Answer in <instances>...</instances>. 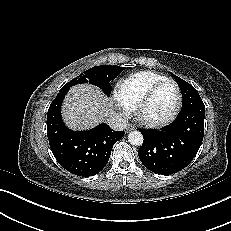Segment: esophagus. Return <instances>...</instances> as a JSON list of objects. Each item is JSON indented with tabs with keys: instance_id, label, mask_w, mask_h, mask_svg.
<instances>
[{
	"instance_id": "esophagus-1",
	"label": "esophagus",
	"mask_w": 231,
	"mask_h": 231,
	"mask_svg": "<svg viewBox=\"0 0 231 231\" xmlns=\"http://www.w3.org/2000/svg\"><path fill=\"white\" fill-rule=\"evenodd\" d=\"M135 129V126L132 125V124H128L127 127H126V132H129V131H132Z\"/></svg>"
}]
</instances>
